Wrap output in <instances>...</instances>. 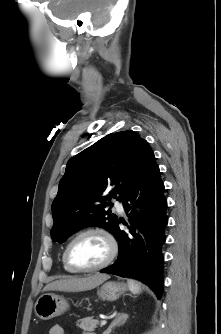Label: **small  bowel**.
I'll list each match as a JSON object with an SVG mask.
<instances>
[{
    "instance_id": "small-bowel-1",
    "label": "small bowel",
    "mask_w": 221,
    "mask_h": 334,
    "mask_svg": "<svg viewBox=\"0 0 221 334\" xmlns=\"http://www.w3.org/2000/svg\"><path fill=\"white\" fill-rule=\"evenodd\" d=\"M48 334H65V331L62 326L56 324L50 327ZM85 334H92V333H85Z\"/></svg>"
}]
</instances>
